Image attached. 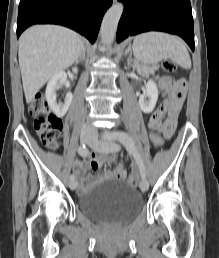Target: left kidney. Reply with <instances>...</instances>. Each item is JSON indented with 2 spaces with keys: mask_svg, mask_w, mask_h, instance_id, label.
Here are the masks:
<instances>
[{
  "mask_svg": "<svg viewBox=\"0 0 219 258\" xmlns=\"http://www.w3.org/2000/svg\"><path fill=\"white\" fill-rule=\"evenodd\" d=\"M158 100V88L154 81L149 80L146 91L139 97V106L144 113H151Z\"/></svg>",
  "mask_w": 219,
  "mask_h": 258,
  "instance_id": "5707ae66",
  "label": "left kidney"
}]
</instances>
